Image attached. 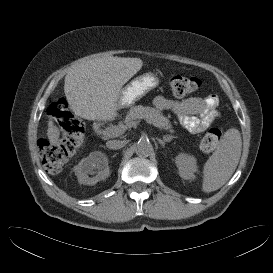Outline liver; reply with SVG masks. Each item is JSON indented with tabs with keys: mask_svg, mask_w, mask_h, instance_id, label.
<instances>
[{
	"mask_svg": "<svg viewBox=\"0 0 273 273\" xmlns=\"http://www.w3.org/2000/svg\"><path fill=\"white\" fill-rule=\"evenodd\" d=\"M140 58L101 57L81 62L65 76L64 92L72 111L88 120H114L123 85L141 68ZM47 137L59 144L60 129L48 121Z\"/></svg>",
	"mask_w": 273,
	"mask_h": 273,
	"instance_id": "obj_1",
	"label": "liver"
}]
</instances>
